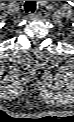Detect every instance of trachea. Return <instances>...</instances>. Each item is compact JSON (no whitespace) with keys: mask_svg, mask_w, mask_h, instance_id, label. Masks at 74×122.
<instances>
[{"mask_svg":"<svg viewBox=\"0 0 74 122\" xmlns=\"http://www.w3.org/2000/svg\"><path fill=\"white\" fill-rule=\"evenodd\" d=\"M24 10L26 13H34L36 10V2L35 1H25Z\"/></svg>","mask_w":74,"mask_h":122,"instance_id":"3493384b","label":"trachea"}]
</instances>
